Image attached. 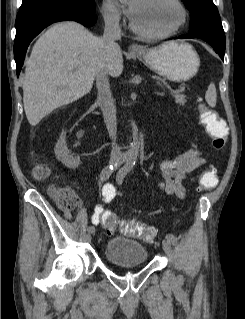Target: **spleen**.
Masks as SVG:
<instances>
[{"label":"spleen","mask_w":245,"mask_h":319,"mask_svg":"<svg viewBox=\"0 0 245 319\" xmlns=\"http://www.w3.org/2000/svg\"><path fill=\"white\" fill-rule=\"evenodd\" d=\"M205 100L209 106L211 107L216 106L217 93H216V87L214 83H210V85L208 86V89L205 94Z\"/></svg>","instance_id":"1"}]
</instances>
